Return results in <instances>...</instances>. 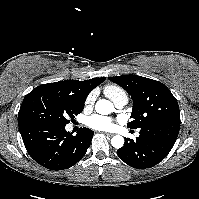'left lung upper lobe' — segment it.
Segmentation results:
<instances>
[{
    "label": "left lung upper lobe",
    "instance_id": "left-lung-upper-lobe-1",
    "mask_svg": "<svg viewBox=\"0 0 199 199\" xmlns=\"http://www.w3.org/2000/svg\"><path fill=\"white\" fill-rule=\"evenodd\" d=\"M124 88L133 100L131 129L144 128L165 119H180L176 98L161 82L137 75L109 77Z\"/></svg>",
    "mask_w": 199,
    "mask_h": 199
}]
</instances>
